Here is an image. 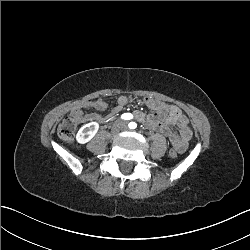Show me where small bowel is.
Here are the masks:
<instances>
[{
	"instance_id": "1",
	"label": "small bowel",
	"mask_w": 250,
	"mask_h": 250,
	"mask_svg": "<svg viewBox=\"0 0 250 250\" xmlns=\"http://www.w3.org/2000/svg\"><path fill=\"white\" fill-rule=\"evenodd\" d=\"M128 100V96H120L115 111H118L125 106L128 103ZM145 104L152 110V113L144 114L137 111L135 113L136 119L143 122L151 130L160 132L166 136L176 150L183 152L192 136L186 116L177 106L162 102L152 97H146ZM89 106L102 111L107 108V103L106 101L103 102L98 99L91 101ZM73 116L76 120L81 122L96 121L102 123L105 121V117L99 114L85 113L81 109H76L73 112ZM173 126L177 128V132L173 131Z\"/></svg>"
}]
</instances>
